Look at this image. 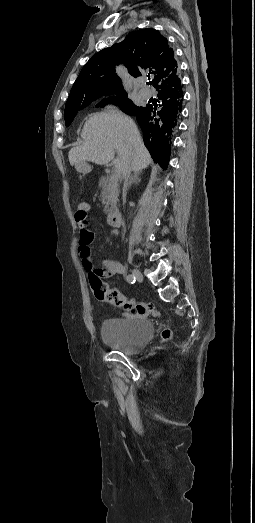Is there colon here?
<instances>
[{
	"label": "colon",
	"instance_id": "5ec220e1",
	"mask_svg": "<svg viewBox=\"0 0 255 523\" xmlns=\"http://www.w3.org/2000/svg\"><path fill=\"white\" fill-rule=\"evenodd\" d=\"M88 210L89 204L87 202L80 201L77 204L75 219L79 225L87 224ZM89 282L95 297L102 302L141 316L156 314L155 309L150 304L129 298L117 290L109 288L95 272L89 273ZM171 336L170 329H164L161 333L163 341L169 340Z\"/></svg>",
	"mask_w": 255,
	"mask_h": 523
}]
</instances>
